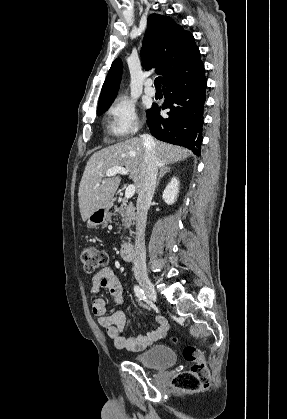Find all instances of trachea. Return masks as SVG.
Returning a JSON list of instances; mask_svg holds the SVG:
<instances>
[{"instance_id": "3493384b", "label": "trachea", "mask_w": 287, "mask_h": 419, "mask_svg": "<svg viewBox=\"0 0 287 419\" xmlns=\"http://www.w3.org/2000/svg\"><path fill=\"white\" fill-rule=\"evenodd\" d=\"M154 85L156 88H161V77H157L154 81Z\"/></svg>"}]
</instances>
